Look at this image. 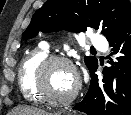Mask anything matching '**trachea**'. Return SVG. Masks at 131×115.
Here are the masks:
<instances>
[{"label":"trachea","mask_w":131,"mask_h":115,"mask_svg":"<svg viewBox=\"0 0 131 115\" xmlns=\"http://www.w3.org/2000/svg\"><path fill=\"white\" fill-rule=\"evenodd\" d=\"M91 50L95 51V49H94V48H92Z\"/></svg>","instance_id":"3493384b"}]
</instances>
